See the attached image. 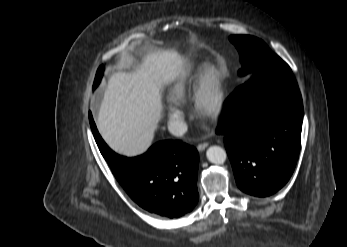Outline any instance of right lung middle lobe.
<instances>
[{"instance_id": "right-lung-middle-lobe-1", "label": "right lung middle lobe", "mask_w": 347, "mask_h": 247, "mask_svg": "<svg viewBox=\"0 0 347 247\" xmlns=\"http://www.w3.org/2000/svg\"><path fill=\"white\" fill-rule=\"evenodd\" d=\"M102 73H103V66H102V68H101V72H100V75H99L100 78H101V76H102ZM99 82H100V79H98L97 82L94 83V89L97 87V85L99 84Z\"/></svg>"}]
</instances>
